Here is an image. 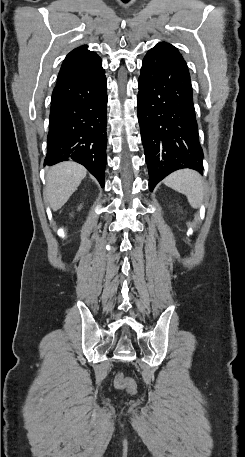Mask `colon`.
<instances>
[{"mask_svg":"<svg viewBox=\"0 0 245 457\" xmlns=\"http://www.w3.org/2000/svg\"><path fill=\"white\" fill-rule=\"evenodd\" d=\"M115 383H116L117 387H119L121 389H126L129 392H133L136 389L135 382L131 378L126 377L122 373H119L116 376Z\"/></svg>","mask_w":245,"mask_h":457,"instance_id":"1","label":"colon"}]
</instances>
